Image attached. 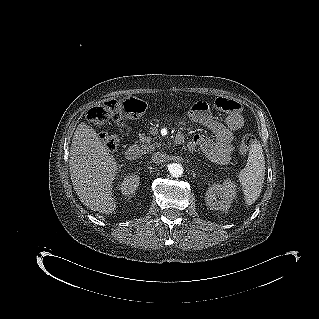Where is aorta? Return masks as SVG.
<instances>
[{"instance_id":"aorta-1","label":"aorta","mask_w":319,"mask_h":319,"mask_svg":"<svg viewBox=\"0 0 319 319\" xmlns=\"http://www.w3.org/2000/svg\"><path fill=\"white\" fill-rule=\"evenodd\" d=\"M183 171L184 169L181 164L173 163L169 166V172L173 177H180Z\"/></svg>"}]
</instances>
